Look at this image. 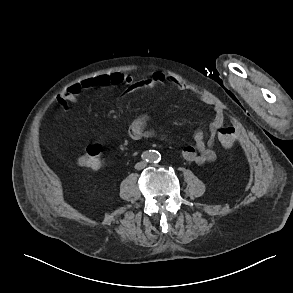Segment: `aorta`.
<instances>
[{"instance_id":"aorta-1","label":"aorta","mask_w":293,"mask_h":293,"mask_svg":"<svg viewBox=\"0 0 293 293\" xmlns=\"http://www.w3.org/2000/svg\"><path fill=\"white\" fill-rule=\"evenodd\" d=\"M150 162H158L160 160V153L158 151H150L147 155Z\"/></svg>"}]
</instances>
